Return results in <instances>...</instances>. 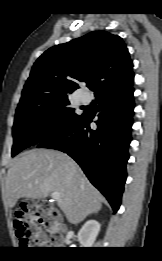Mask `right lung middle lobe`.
<instances>
[{
  "label": "right lung middle lobe",
  "instance_id": "1",
  "mask_svg": "<svg viewBox=\"0 0 162 261\" xmlns=\"http://www.w3.org/2000/svg\"><path fill=\"white\" fill-rule=\"evenodd\" d=\"M80 116L70 107L68 96L40 95L21 101L13 125L12 156L65 129Z\"/></svg>",
  "mask_w": 162,
  "mask_h": 261
}]
</instances>
